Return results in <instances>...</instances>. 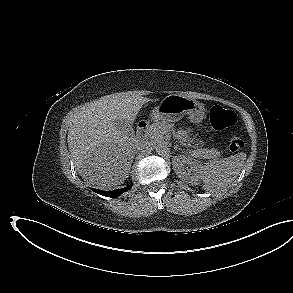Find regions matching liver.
Listing matches in <instances>:
<instances>
[{
    "label": "liver",
    "mask_w": 293,
    "mask_h": 293,
    "mask_svg": "<svg viewBox=\"0 0 293 293\" xmlns=\"http://www.w3.org/2000/svg\"><path fill=\"white\" fill-rule=\"evenodd\" d=\"M149 101L129 92L115 93L86 103L72 114L67 143L76 169L84 179L101 188L117 186L126 180L136 140L117 130L114 123L124 120L133 124Z\"/></svg>",
    "instance_id": "1"
}]
</instances>
